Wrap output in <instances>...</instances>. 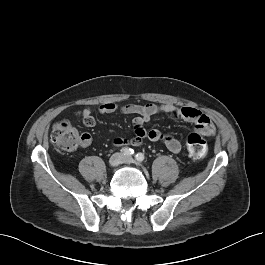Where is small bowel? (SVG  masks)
Here are the masks:
<instances>
[{"instance_id": "small-bowel-1", "label": "small bowel", "mask_w": 265, "mask_h": 265, "mask_svg": "<svg viewBox=\"0 0 265 265\" xmlns=\"http://www.w3.org/2000/svg\"><path fill=\"white\" fill-rule=\"evenodd\" d=\"M118 109H120V112L123 114L138 116L135 117L132 122L135 136L130 139L114 137L112 143L117 147L126 145L140 146L145 139H148L153 142H162L172 153H179L181 151V143L175 137L158 129L147 130L145 128V124L149 122L153 116L160 113L169 114L173 117L194 123L197 131L205 136H213L215 134V127L210 118L193 107H178L171 104L157 105L149 103L145 105L126 104L119 108L112 102L104 103L99 107V111L105 114H112ZM80 117L85 126L92 127L96 124L90 108L83 109L80 112ZM81 143L84 147L89 146L91 143V136L84 133L82 135Z\"/></svg>"}]
</instances>
